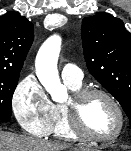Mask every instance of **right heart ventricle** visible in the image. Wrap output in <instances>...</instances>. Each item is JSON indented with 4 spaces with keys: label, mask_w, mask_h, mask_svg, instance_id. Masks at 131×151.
<instances>
[{
    "label": "right heart ventricle",
    "mask_w": 131,
    "mask_h": 151,
    "mask_svg": "<svg viewBox=\"0 0 131 151\" xmlns=\"http://www.w3.org/2000/svg\"><path fill=\"white\" fill-rule=\"evenodd\" d=\"M73 92L81 89V83L65 82ZM47 135L62 140H75L78 137L73 133L69 125L65 104L53 103V118Z\"/></svg>",
    "instance_id": "right-heart-ventricle-1"
}]
</instances>
